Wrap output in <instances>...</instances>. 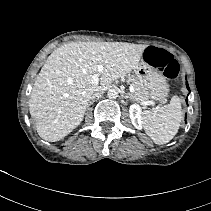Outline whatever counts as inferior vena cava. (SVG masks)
I'll use <instances>...</instances> for the list:
<instances>
[{
    "instance_id": "obj_1",
    "label": "inferior vena cava",
    "mask_w": 211,
    "mask_h": 211,
    "mask_svg": "<svg viewBox=\"0 0 211 211\" xmlns=\"http://www.w3.org/2000/svg\"><path fill=\"white\" fill-rule=\"evenodd\" d=\"M103 91H96L95 93H93L92 95H91V99H95V98H99V97H101L102 95H103Z\"/></svg>"
}]
</instances>
